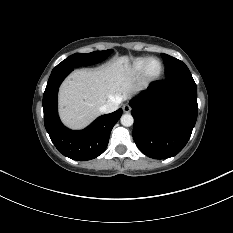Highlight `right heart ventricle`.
Returning a JSON list of instances; mask_svg holds the SVG:
<instances>
[{
  "label": "right heart ventricle",
  "instance_id": "obj_1",
  "mask_svg": "<svg viewBox=\"0 0 233 233\" xmlns=\"http://www.w3.org/2000/svg\"><path fill=\"white\" fill-rule=\"evenodd\" d=\"M148 57H139L134 59L127 69V73L132 76H137L142 73L144 65Z\"/></svg>",
  "mask_w": 233,
  "mask_h": 233
}]
</instances>
